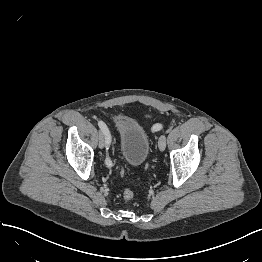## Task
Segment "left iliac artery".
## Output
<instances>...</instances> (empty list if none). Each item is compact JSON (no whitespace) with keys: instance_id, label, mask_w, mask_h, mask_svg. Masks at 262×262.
I'll list each match as a JSON object with an SVG mask.
<instances>
[{"instance_id":"left-iliac-artery-1","label":"left iliac artery","mask_w":262,"mask_h":262,"mask_svg":"<svg viewBox=\"0 0 262 262\" xmlns=\"http://www.w3.org/2000/svg\"><path fill=\"white\" fill-rule=\"evenodd\" d=\"M153 129H154V130H160V129H162V125H161V124H155V125L153 126Z\"/></svg>"}]
</instances>
